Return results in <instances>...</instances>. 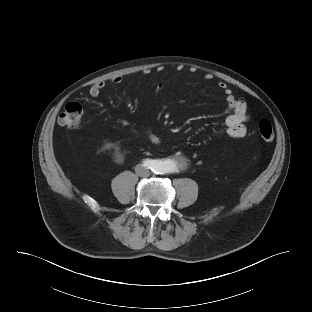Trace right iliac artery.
Here are the masks:
<instances>
[{"instance_id": "1", "label": "right iliac artery", "mask_w": 312, "mask_h": 312, "mask_svg": "<svg viewBox=\"0 0 312 312\" xmlns=\"http://www.w3.org/2000/svg\"><path fill=\"white\" fill-rule=\"evenodd\" d=\"M144 166H150V161H144Z\"/></svg>"}]
</instances>
